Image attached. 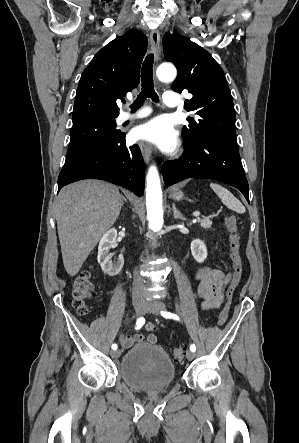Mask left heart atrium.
Here are the masks:
<instances>
[{
	"label": "left heart atrium",
	"instance_id": "left-heart-atrium-1",
	"mask_svg": "<svg viewBox=\"0 0 299 443\" xmlns=\"http://www.w3.org/2000/svg\"><path fill=\"white\" fill-rule=\"evenodd\" d=\"M132 138L156 142L162 148L170 150L176 145L177 133L167 118L159 117L136 128L132 133Z\"/></svg>",
	"mask_w": 299,
	"mask_h": 443
}]
</instances>
